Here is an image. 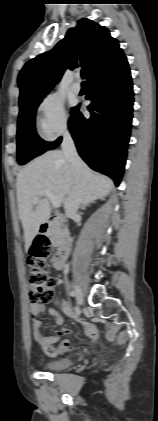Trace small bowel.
Segmentation results:
<instances>
[{"instance_id": "c3829d8e", "label": "small bowel", "mask_w": 158, "mask_h": 421, "mask_svg": "<svg viewBox=\"0 0 158 421\" xmlns=\"http://www.w3.org/2000/svg\"><path fill=\"white\" fill-rule=\"evenodd\" d=\"M59 308L68 316L75 319L78 324L80 325V331L84 335L87 336H96V329L95 327L84 321L72 308L71 306L66 302L58 303ZM31 312L34 315L38 314H45L48 312L50 316L53 319V322L55 326H59L62 323V316L61 314L54 308H50L45 304H37V305H31ZM33 325V335L35 342L37 345L48 355L50 356H57L59 354L67 352L72 343L71 338H66L63 340L58 346H56L57 341L60 338V335L63 333L70 334L71 332H63V331H57L56 335H46L42 331V322L38 319H33L32 321Z\"/></svg>"}]
</instances>
